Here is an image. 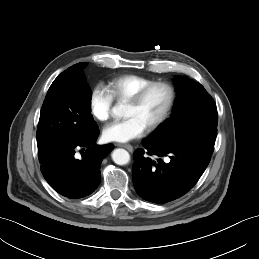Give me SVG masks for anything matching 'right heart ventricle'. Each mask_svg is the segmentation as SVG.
<instances>
[{"mask_svg": "<svg viewBox=\"0 0 259 259\" xmlns=\"http://www.w3.org/2000/svg\"><path fill=\"white\" fill-rule=\"evenodd\" d=\"M152 82L154 80L150 78L129 74L114 78L108 83L107 88L113 99L124 102Z\"/></svg>", "mask_w": 259, "mask_h": 259, "instance_id": "1", "label": "right heart ventricle"}]
</instances>
